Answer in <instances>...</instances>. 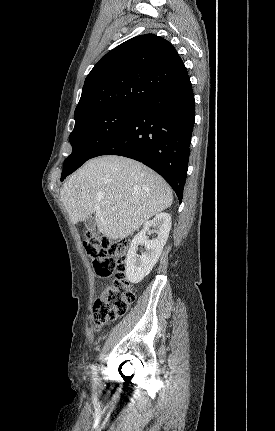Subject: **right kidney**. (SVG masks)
Returning a JSON list of instances; mask_svg holds the SVG:
<instances>
[{"instance_id": "1", "label": "right kidney", "mask_w": 275, "mask_h": 431, "mask_svg": "<svg viewBox=\"0 0 275 431\" xmlns=\"http://www.w3.org/2000/svg\"><path fill=\"white\" fill-rule=\"evenodd\" d=\"M171 216L160 213L152 220L146 222L143 229L134 236L126 257V278L131 283H139L146 277L157 263L171 229ZM151 227L157 228L158 236L149 240L146 233ZM139 245H144L146 252L137 255Z\"/></svg>"}]
</instances>
